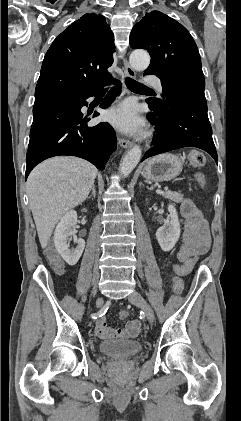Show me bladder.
I'll use <instances>...</instances> for the list:
<instances>
[{"instance_id": "bladder-1", "label": "bladder", "mask_w": 241, "mask_h": 421, "mask_svg": "<svg viewBox=\"0 0 241 421\" xmlns=\"http://www.w3.org/2000/svg\"><path fill=\"white\" fill-rule=\"evenodd\" d=\"M142 349L141 343L135 340L104 341L99 344L100 353L115 360L131 359Z\"/></svg>"}]
</instances>
